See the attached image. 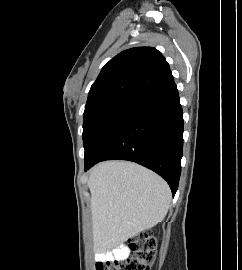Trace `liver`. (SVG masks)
I'll return each instance as SVG.
<instances>
[{
  "instance_id": "1",
  "label": "liver",
  "mask_w": 242,
  "mask_h": 270,
  "mask_svg": "<svg viewBox=\"0 0 242 270\" xmlns=\"http://www.w3.org/2000/svg\"><path fill=\"white\" fill-rule=\"evenodd\" d=\"M94 246L112 248L165 218L171 191L156 173L127 161H106L89 173Z\"/></svg>"
}]
</instances>
